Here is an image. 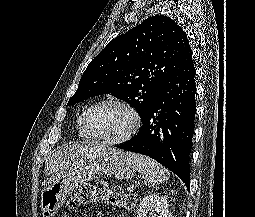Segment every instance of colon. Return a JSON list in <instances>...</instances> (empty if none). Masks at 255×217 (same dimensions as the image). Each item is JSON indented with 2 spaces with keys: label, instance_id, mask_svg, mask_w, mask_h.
Returning a JSON list of instances; mask_svg holds the SVG:
<instances>
[{
  "label": "colon",
  "instance_id": "1",
  "mask_svg": "<svg viewBox=\"0 0 255 217\" xmlns=\"http://www.w3.org/2000/svg\"><path fill=\"white\" fill-rule=\"evenodd\" d=\"M95 202H105L116 208L130 210L135 204V197L133 194L125 193L120 187H109L100 183L81 187L70 197L68 204L71 209H77L84 204Z\"/></svg>",
  "mask_w": 255,
  "mask_h": 217
}]
</instances>
